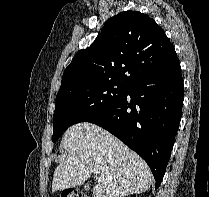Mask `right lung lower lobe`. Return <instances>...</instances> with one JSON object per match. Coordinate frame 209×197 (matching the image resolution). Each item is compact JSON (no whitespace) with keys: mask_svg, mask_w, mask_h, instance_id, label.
Here are the masks:
<instances>
[{"mask_svg":"<svg viewBox=\"0 0 209 197\" xmlns=\"http://www.w3.org/2000/svg\"><path fill=\"white\" fill-rule=\"evenodd\" d=\"M183 78L177 55L130 85L127 95L87 122L118 137L149 165L158 188L181 119Z\"/></svg>","mask_w":209,"mask_h":197,"instance_id":"obj_1","label":"right lung lower lobe"}]
</instances>
